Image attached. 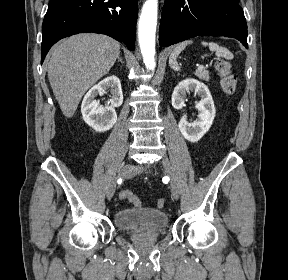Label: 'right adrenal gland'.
<instances>
[{"label":"right adrenal gland","mask_w":288,"mask_h":280,"mask_svg":"<svg viewBox=\"0 0 288 280\" xmlns=\"http://www.w3.org/2000/svg\"><path fill=\"white\" fill-rule=\"evenodd\" d=\"M118 62H121V64H124L123 59L120 57V55L118 56Z\"/></svg>","instance_id":"1"}]
</instances>
